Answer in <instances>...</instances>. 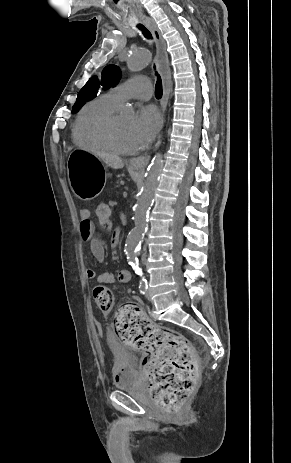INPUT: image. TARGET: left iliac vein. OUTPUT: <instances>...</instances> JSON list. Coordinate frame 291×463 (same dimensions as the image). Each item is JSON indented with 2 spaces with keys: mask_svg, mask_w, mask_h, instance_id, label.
<instances>
[{
  "mask_svg": "<svg viewBox=\"0 0 291 463\" xmlns=\"http://www.w3.org/2000/svg\"><path fill=\"white\" fill-rule=\"evenodd\" d=\"M146 298H147L149 301H152L151 296H150V294H149L148 291H147V293H146Z\"/></svg>",
  "mask_w": 291,
  "mask_h": 463,
  "instance_id": "4c4485c4",
  "label": "left iliac vein"
}]
</instances>
